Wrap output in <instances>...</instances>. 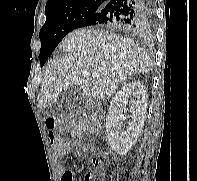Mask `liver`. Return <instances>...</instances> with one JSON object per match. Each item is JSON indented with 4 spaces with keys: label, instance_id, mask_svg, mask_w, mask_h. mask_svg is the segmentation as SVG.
Returning <instances> with one entry per match:
<instances>
[{
    "label": "liver",
    "instance_id": "6515ba94",
    "mask_svg": "<svg viewBox=\"0 0 197 181\" xmlns=\"http://www.w3.org/2000/svg\"><path fill=\"white\" fill-rule=\"evenodd\" d=\"M59 49L64 57L51 61L38 94L42 109L56 103L72 85L80 86L87 98H108L128 76L146 73L153 66L146 52L133 41L98 29L69 33ZM83 71L89 75H83ZM93 73L99 76L93 77Z\"/></svg>",
    "mask_w": 197,
    "mask_h": 181
}]
</instances>
